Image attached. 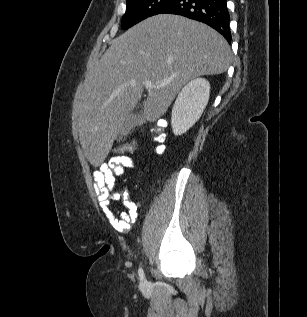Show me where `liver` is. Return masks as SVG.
<instances>
[{"label": "liver", "mask_w": 307, "mask_h": 317, "mask_svg": "<svg viewBox=\"0 0 307 317\" xmlns=\"http://www.w3.org/2000/svg\"><path fill=\"white\" fill-rule=\"evenodd\" d=\"M231 50L217 31L178 15L150 17L111 41L92 67L74 99L81 146L99 166L110 152L125 116L141 98L144 82L165 84L149 89L142 119L154 122L167 111L180 89L202 75L227 71Z\"/></svg>", "instance_id": "obj_1"}]
</instances>
